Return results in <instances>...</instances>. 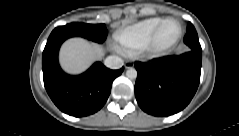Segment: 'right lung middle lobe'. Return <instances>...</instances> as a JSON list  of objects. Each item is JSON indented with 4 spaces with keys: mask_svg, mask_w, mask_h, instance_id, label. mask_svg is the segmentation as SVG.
I'll use <instances>...</instances> for the list:
<instances>
[{
    "mask_svg": "<svg viewBox=\"0 0 239 136\" xmlns=\"http://www.w3.org/2000/svg\"><path fill=\"white\" fill-rule=\"evenodd\" d=\"M55 31H60L62 34L67 35V37L81 36L98 43L104 42L107 35V29L104 24L70 23L55 28L52 33Z\"/></svg>",
    "mask_w": 239,
    "mask_h": 136,
    "instance_id": "obj_1",
    "label": "right lung middle lobe"
}]
</instances>
